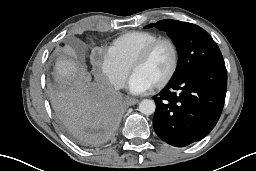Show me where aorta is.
<instances>
[{"label": "aorta", "instance_id": "obj_1", "mask_svg": "<svg viewBox=\"0 0 256 171\" xmlns=\"http://www.w3.org/2000/svg\"><path fill=\"white\" fill-rule=\"evenodd\" d=\"M155 102L150 99H144L139 103V111L144 115H151L155 112Z\"/></svg>", "mask_w": 256, "mask_h": 171}]
</instances>
